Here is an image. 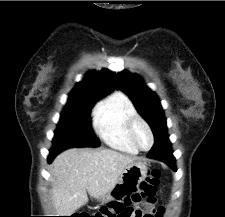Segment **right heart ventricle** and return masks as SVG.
Returning <instances> with one entry per match:
<instances>
[{"instance_id": "e07e8e85", "label": "right heart ventricle", "mask_w": 225, "mask_h": 217, "mask_svg": "<svg viewBox=\"0 0 225 217\" xmlns=\"http://www.w3.org/2000/svg\"><path fill=\"white\" fill-rule=\"evenodd\" d=\"M136 115L137 110L132 100L123 92H115L97 106L94 127L110 148L137 154L139 150L128 135V123Z\"/></svg>"}]
</instances>
